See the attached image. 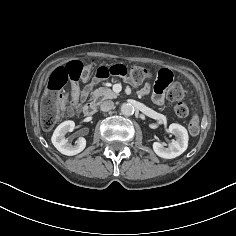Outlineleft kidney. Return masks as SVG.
I'll return each mask as SVG.
<instances>
[{
  "mask_svg": "<svg viewBox=\"0 0 236 236\" xmlns=\"http://www.w3.org/2000/svg\"><path fill=\"white\" fill-rule=\"evenodd\" d=\"M168 131L176 136V140H173L169 146L164 147L163 143L154 142V152L162 158L172 159L180 156L188 147V132L185 127L173 123L170 124Z\"/></svg>",
  "mask_w": 236,
  "mask_h": 236,
  "instance_id": "1",
  "label": "left kidney"
}]
</instances>
